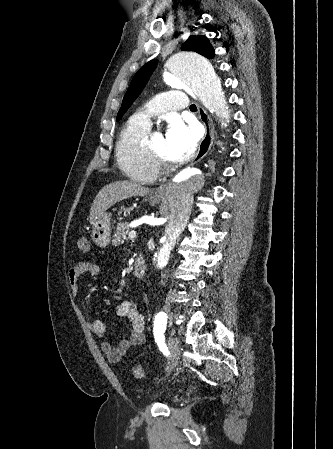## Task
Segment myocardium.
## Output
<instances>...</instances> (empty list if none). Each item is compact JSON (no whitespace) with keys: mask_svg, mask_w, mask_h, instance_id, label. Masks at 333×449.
<instances>
[{"mask_svg":"<svg viewBox=\"0 0 333 449\" xmlns=\"http://www.w3.org/2000/svg\"><path fill=\"white\" fill-rule=\"evenodd\" d=\"M145 147L148 152V155L150 156L152 161L155 163V165L158 167V169L164 168L169 165V162L166 158L156 154L148 145L145 144Z\"/></svg>","mask_w":333,"mask_h":449,"instance_id":"obj_1","label":"myocardium"}]
</instances>
